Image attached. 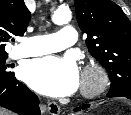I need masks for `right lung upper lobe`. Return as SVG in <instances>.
<instances>
[{"instance_id":"obj_1","label":"right lung upper lobe","mask_w":131,"mask_h":115,"mask_svg":"<svg viewBox=\"0 0 131 115\" xmlns=\"http://www.w3.org/2000/svg\"><path fill=\"white\" fill-rule=\"evenodd\" d=\"M31 19L24 0H0V55L7 54L6 43L22 36Z\"/></svg>"}]
</instances>
